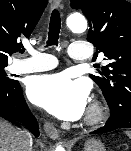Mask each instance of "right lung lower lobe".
Here are the masks:
<instances>
[{"mask_svg":"<svg viewBox=\"0 0 131 151\" xmlns=\"http://www.w3.org/2000/svg\"><path fill=\"white\" fill-rule=\"evenodd\" d=\"M0 117L7 120H20L36 137L39 136V126L31 114L23 97L20 83L16 80L0 84Z\"/></svg>","mask_w":131,"mask_h":151,"instance_id":"98d812e1","label":"right lung lower lobe"}]
</instances>
